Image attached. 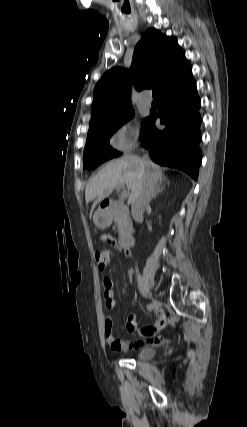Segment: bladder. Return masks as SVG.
I'll return each instance as SVG.
<instances>
[{
    "mask_svg": "<svg viewBox=\"0 0 247 427\" xmlns=\"http://www.w3.org/2000/svg\"><path fill=\"white\" fill-rule=\"evenodd\" d=\"M155 354V349L153 347L150 346H145L142 347L138 350L137 354H136V358L139 360H149L151 359Z\"/></svg>",
    "mask_w": 247,
    "mask_h": 427,
    "instance_id": "31cf9c89",
    "label": "bladder"
}]
</instances>
